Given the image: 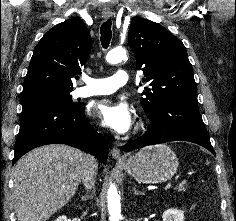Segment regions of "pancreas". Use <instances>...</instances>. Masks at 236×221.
<instances>
[{
    "instance_id": "pancreas-1",
    "label": "pancreas",
    "mask_w": 236,
    "mask_h": 221,
    "mask_svg": "<svg viewBox=\"0 0 236 221\" xmlns=\"http://www.w3.org/2000/svg\"><path fill=\"white\" fill-rule=\"evenodd\" d=\"M185 190H186L185 186L179 188V191H185Z\"/></svg>"
}]
</instances>
